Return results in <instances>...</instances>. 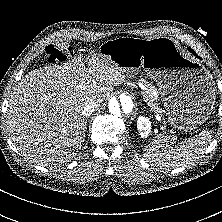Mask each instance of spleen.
<instances>
[{
  "mask_svg": "<svg viewBox=\"0 0 222 222\" xmlns=\"http://www.w3.org/2000/svg\"><path fill=\"white\" fill-rule=\"evenodd\" d=\"M211 139V132L203 131L196 137L174 145L169 137L160 134L146 147L144 155L150 162L159 166H186L204 154Z\"/></svg>",
  "mask_w": 222,
  "mask_h": 222,
  "instance_id": "spleen-1",
  "label": "spleen"
}]
</instances>
